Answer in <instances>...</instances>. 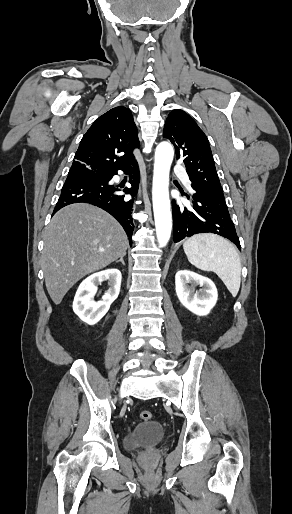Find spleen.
Here are the masks:
<instances>
[{
  "instance_id": "1",
  "label": "spleen",
  "mask_w": 292,
  "mask_h": 514,
  "mask_svg": "<svg viewBox=\"0 0 292 514\" xmlns=\"http://www.w3.org/2000/svg\"><path fill=\"white\" fill-rule=\"evenodd\" d=\"M183 250L190 264L203 272H215L236 298L241 284V260L233 244L217 234H196L184 242Z\"/></svg>"
}]
</instances>
